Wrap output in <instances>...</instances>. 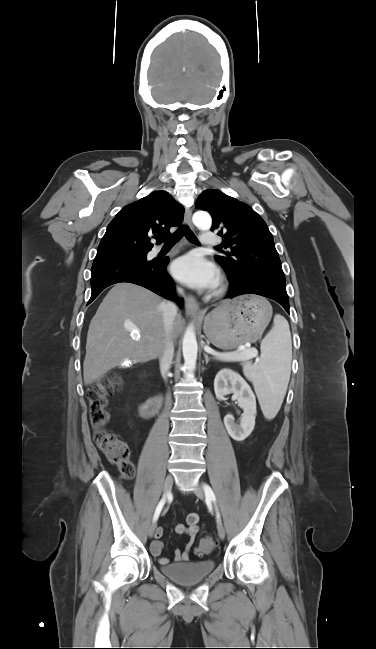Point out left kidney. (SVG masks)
Here are the masks:
<instances>
[{"mask_svg":"<svg viewBox=\"0 0 376 649\" xmlns=\"http://www.w3.org/2000/svg\"><path fill=\"white\" fill-rule=\"evenodd\" d=\"M214 391L219 400H223L225 395L233 393L239 406L243 409L240 424L235 423L231 414L224 417V424L229 435L236 441H243L253 431L257 414L256 398L251 387L238 373L223 369L214 379Z\"/></svg>","mask_w":376,"mask_h":649,"instance_id":"1","label":"left kidney"}]
</instances>
